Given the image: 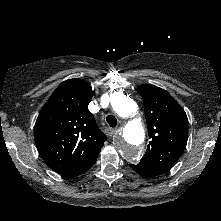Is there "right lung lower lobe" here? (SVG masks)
Wrapping results in <instances>:
<instances>
[{
    "mask_svg": "<svg viewBox=\"0 0 221 221\" xmlns=\"http://www.w3.org/2000/svg\"><path fill=\"white\" fill-rule=\"evenodd\" d=\"M96 159H97V156L94 157V158H93L91 161H89L87 164H85V165H83V166H81V167H79V168H76V169L70 170V171H68V172H65V173H63V174H61V175L64 176V177H67V178H72V177L78 176V175H80L81 173L87 171L89 168H91V167L94 165Z\"/></svg>",
    "mask_w": 221,
    "mask_h": 221,
    "instance_id": "98d812e1",
    "label": "right lung lower lobe"
}]
</instances>
